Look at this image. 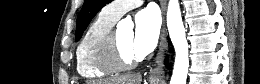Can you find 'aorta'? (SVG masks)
<instances>
[{"label":"aorta","mask_w":260,"mask_h":84,"mask_svg":"<svg viewBox=\"0 0 260 84\" xmlns=\"http://www.w3.org/2000/svg\"><path fill=\"white\" fill-rule=\"evenodd\" d=\"M167 27L175 49V62L170 84H186L189 68L188 43L178 0H169ZM131 29V25L128 26Z\"/></svg>","instance_id":"obj_1"}]
</instances>
